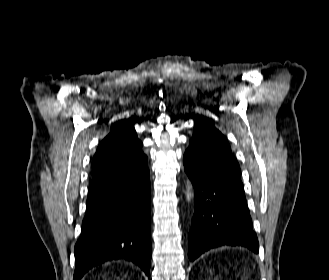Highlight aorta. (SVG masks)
I'll list each match as a JSON object with an SVG mask.
<instances>
[{
	"label": "aorta",
	"instance_id": "aorta-1",
	"mask_svg": "<svg viewBox=\"0 0 329 280\" xmlns=\"http://www.w3.org/2000/svg\"><path fill=\"white\" fill-rule=\"evenodd\" d=\"M186 196H187L188 201H190V199L192 197V193H191V188L189 185L187 186Z\"/></svg>",
	"mask_w": 329,
	"mask_h": 280
}]
</instances>
